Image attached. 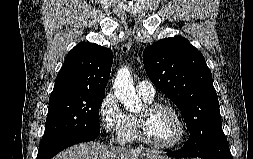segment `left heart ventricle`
I'll return each mask as SVG.
<instances>
[{
    "instance_id": "b2bd125f",
    "label": "left heart ventricle",
    "mask_w": 253,
    "mask_h": 159,
    "mask_svg": "<svg viewBox=\"0 0 253 159\" xmlns=\"http://www.w3.org/2000/svg\"><path fill=\"white\" fill-rule=\"evenodd\" d=\"M144 108L138 116H144ZM147 130L152 141L160 144L173 142L179 134L180 126L176 116L167 109L156 110L146 116Z\"/></svg>"
}]
</instances>
